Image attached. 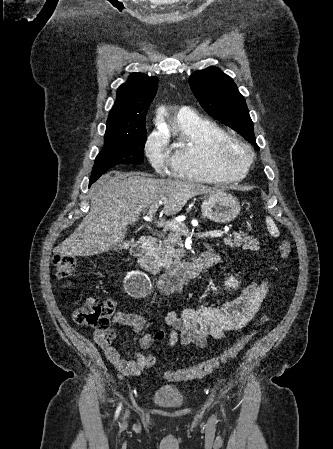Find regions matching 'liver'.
I'll return each mask as SVG.
<instances>
[{
  "label": "liver",
  "mask_w": 333,
  "mask_h": 449,
  "mask_svg": "<svg viewBox=\"0 0 333 449\" xmlns=\"http://www.w3.org/2000/svg\"><path fill=\"white\" fill-rule=\"evenodd\" d=\"M216 191L198 183L154 179L143 173L108 172L91 187L90 212L55 250L67 256L101 254L120 243L129 225L152 204L162 201L163 213L175 215L191 198Z\"/></svg>",
  "instance_id": "6515ba94"
}]
</instances>
